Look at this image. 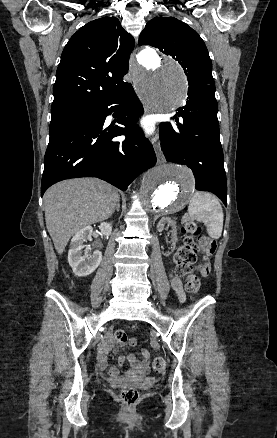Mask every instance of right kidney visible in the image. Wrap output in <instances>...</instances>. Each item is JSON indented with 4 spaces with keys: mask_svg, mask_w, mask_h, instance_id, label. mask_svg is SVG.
<instances>
[{
    "mask_svg": "<svg viewBox=\"0 0 277 438\" xmlns=\"http://www.w3.org/2000/svg\"><path fill=\"white\" fill-rule=\"evenodd\" d=\"M99 228L103 236H110L112 232L111 224H107V222H101ZM92 232V226H85V228H82V230L76 232L75 236H73L70 242L68 262L75 276H80V278H84V276H89V274H92V272H94V270H96V268H98L99 264L102 262V252L95 250L92 256H90V254H88L89 250H84V242H87V240H92Z\"/></svg>",
    "mask_w": 277,
    "mask_h": 438,
    "instance_id": "ca27d5eb",
    "label": "right kidney"
}]
</instances>
